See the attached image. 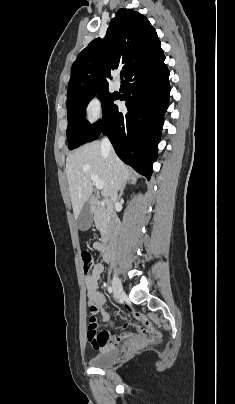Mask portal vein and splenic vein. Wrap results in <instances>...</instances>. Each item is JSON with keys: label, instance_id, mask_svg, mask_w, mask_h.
Instances as JSON below:
<instances>
[{"label": "portal vein and splenic vein", "instance_id": "18ae733b", "mask_svg": "<svg viewBox=\"0 0 235 404\" xmlns=\"http://www.w3.org/2000/svg\"><path fill=\"white\" fill-rule=\"evenodd\" d=\"M91 179L97 190L103 189L104 183L98 178L97 175H91Z\"/></svg>", "mask_w": 235, "mask_h": 404}]
</instances>
